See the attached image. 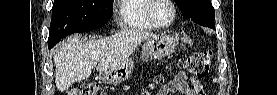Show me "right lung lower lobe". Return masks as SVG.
<instances>
[{
    "mask_svg": "<svg viewBox=\"0 0 277 95\" xmlns=\"http://www.w3.org/2000/svg\"><path fill=\"white\" fill-rule=\"evenodd\" d=\"M53 47L52 44H48V48L51 49Z\"/></svg>",
    "mask_w": 277,
    "mask_h": 95,
    "instance_id": "obj_1",
    "label": "right lung lower lobe"
}]
</instances>
